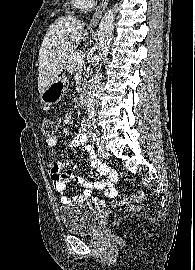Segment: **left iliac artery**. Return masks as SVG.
Here are the masks:
<instances>
[{
  "instance_id": "left-iliac-artery-1",
  "label": "left iliac artery",
  "mask_w": 195,
  "mask_h": 270,
  "mask_svg": "<svg viewBox=\"0 0 195 270\" xmlns=\"http://www.w3.org/2000/svg\"><path fill=\"white\" fill-rule=\"evenodd\" d=\"M92 131H93V133H92V134H93V140L96 141V144H97L98 141H99V139L97 138V136H96V134H95L93 128H92Z\"/></svg>"
}]
</instances>
